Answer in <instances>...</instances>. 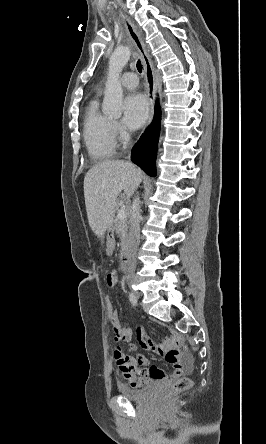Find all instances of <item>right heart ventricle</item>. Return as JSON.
Returning <instances> with one entry per match:
<instances>
[{"mask_svg":"<svg viewBox=\"0 0 266 444\" xmlns=\"http://www.w3.org/2000/svg\"><path fill=\"white\" fill-rule=\"evenodd\" d=\"M83 137L90 156L104 160L114 156L116 138L112 120L99 110L98 99L88 104L83 119Z\"/></svg>","mask_w":266,"mask_h":444,"instance_id":"1","label":"right heart ventricle"}]
</instances>
